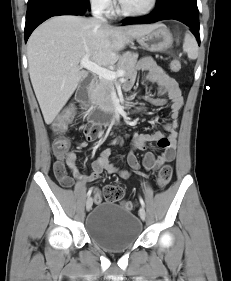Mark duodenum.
<instances>
[{
	"label": "duodenum",
	"mask_w": 231,
	"mask_h": 281,
	"mask_svg": "<svg viewBox=\"0 0 231 281\" xmlns=\"http://www.w3.org/2000/svg\"><path fill=\"white\" fill-rule=\"evenodd\" d=\"M91 86L90 81H83L77 88V101L88 110L87 119L90 123L96 126H104L117 121L121 114V107L119 105H112L102 110H90L91 104Z\"/></svg>",
	"instance_id": "1"
}]
</instances>
